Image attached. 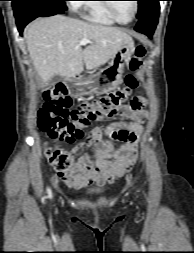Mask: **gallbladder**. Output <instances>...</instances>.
I'll return each instance as SVG.
<instances>
[{"mask_svg": "<svg viewBox=\"0 0 194 253\" xmlns=\"http://www.w3.org/2000/svg\"><path fill=\"white\" fill-rule=\"evenodd\" d=\"M60 76L59 75H55V76H53L51 79H50V81H49V85L50 86H54V85H56V84H58L59 82H60Z\"/></svg>", "mask_w": 194, "mask_h": 253, "instance_id": "gallbladder-1", "label": "gallbladder"}]
</instances>
